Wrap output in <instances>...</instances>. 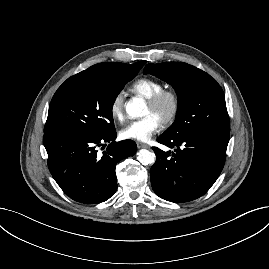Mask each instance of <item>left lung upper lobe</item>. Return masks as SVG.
<instances>
[{
  "label": "left lung upper lobe",
  "mask_w": 269,
  "mask_h": 269,
  "mask_svg": "<svg viewBox=\"0 0 269 269\" xmlns=\"http://www.w3.org/2000/svg\"><path fill=\"white\" fill-rule=\"evenodd\" d=\"M143 73L171 84L178 96L176 120L163 136L179 137L197 130L230 132L223 90L209 74L182 62L150 63Z\"/></svg>",
  "instance_id": "1"
}]
</instances>
